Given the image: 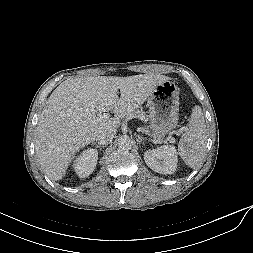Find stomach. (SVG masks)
<instances>
[{"mask_svg": "<svg viewBox=\"0 0 253 253\" xmlns=\"http://www.w3.org/2000/svg\"><path fill=\"white\" fill-rule=\"evenodd\" d=\"M149 127L157 138L171 133L179 120V92L172 81L159 84L148 98Z\"/></svg>", "mask_w": 253, "mask_h": 253, "instance_id": "1", "label": "stomach"}]
</instances>
